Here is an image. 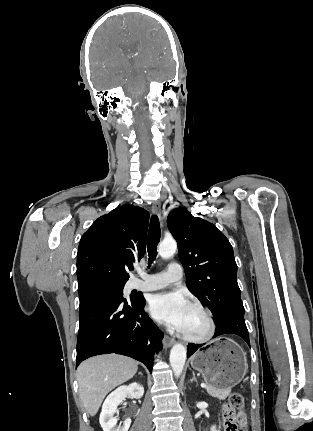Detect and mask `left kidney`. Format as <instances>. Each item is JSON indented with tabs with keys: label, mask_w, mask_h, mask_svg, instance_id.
<instances>
[{
	"label": "left kidney",
	"mask_w": 313,
	"mask_h": 431,
	"mask_svg": "<svg viewBox=\"0 0 313 431\" xmlns=\"http://www.w3.org/2000/svg\"><path fill=\"white\" fill-rule=\"evenodd\" d=\"M211 431H217L215 426L211 427Z\"/></svg>",
	"instance_id": "left-kidney-1"
}]
</instances>
